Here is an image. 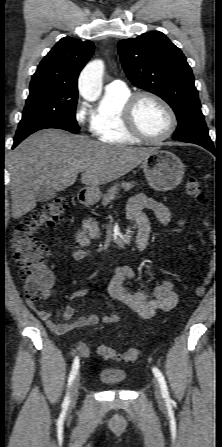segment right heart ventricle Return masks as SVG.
Wrapping results in <instances>:
<instances>
[{
    "label": "right heart ventricle",
    "mask_w": 222,
    "mask_h": 447,
    "mask_svg": "<svg viewBox=\"0 0 222 447\" xmlns=\"http://www.w3.org/2000/svg\"><path fill=\"white\" fill-rule=\"evenodd\" d=\"M130 95L128 88L118 92H105L100 105L90 117V132L97 140L112 145H128L141 141L131 135L122 123V107Z\"/></svg>",
    "instance_id": "obj_1"
}]
</instances>
